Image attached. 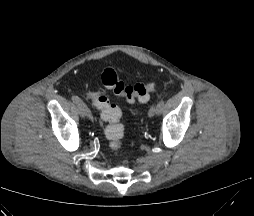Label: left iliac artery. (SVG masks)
<instances>
[{
  "instance_id": "1",
  "label": "left iliac artery",
  "mask_w": 254,
  "mask_h": 216,
  "mask_svg": "<svg viewBox=\"0 0 254 216\" xmlns=\"http://www.w3.org/2000/svg\"><path fill=\"white\" fill-rule=\"evenodd\" d=\"M164 106H165V100L164 99L159 100L157 105H156L158 114L163 111Z\"/></svg>"
}]
</instances>
